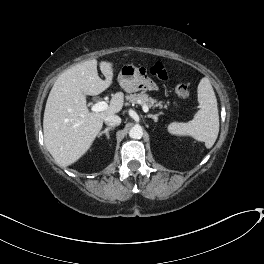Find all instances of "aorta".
<instances>
[{
    "instance_id": "obj_1",
    "label": "aorta",
    "mask_w": 264,
    "mask_h": 264,
    "mask_svg": "<svg viewBox=\"0 0 264 264\" xmlns=\"http://www.w3.org/2000/svg\"><path fill=\"white\" fill-rule=\"evenodd\" d=\"M129 136L132 139H140L143 136V129L141 126H134L129 131Z\"/></svg>"
}]
</instances>
